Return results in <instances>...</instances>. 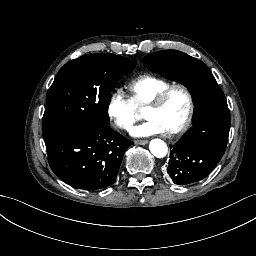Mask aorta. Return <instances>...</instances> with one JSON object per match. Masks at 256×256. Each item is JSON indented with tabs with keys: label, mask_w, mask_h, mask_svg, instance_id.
<instances>
[{
	"label": "aorta",
	"mask_w": 256,
	"mask_h": 256,
	"mask_svg": "<svg viewBox=\"0 0 256 256\" xmlns=\"http://www.w3.org/2000/svg\"><path fill=\"white\" fill-rule=\"evenodd\" d=\"M149 149L151 154L158 159L165 158L168 154V146L161 139L152 140L149 144Z\"/></svg>",
	"instance_id": "1"
}]
</instances>
